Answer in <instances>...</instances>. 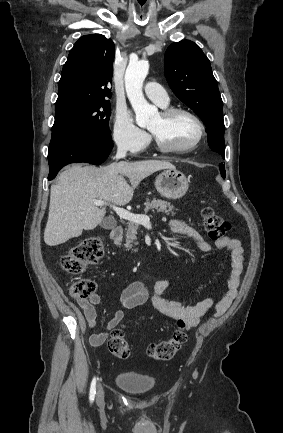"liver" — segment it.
<instances>
[{"label":"liver","instance_id":"liver-1","mask_svg":"<svg viewBox=\"0 0 283 433\" xmlns=\"http://www.w3.org/2000/svg\"><path fill=\"white\" fill-rule=\"evenodd\" d=\"M173 168L167 160H136L111 162L108 166L72 164L58 176L50 192L49 217L44 241L49 247L80 237L82 231H92L106 214L105 206H96L93 200H106L124 206L130 202L134 188L143 178ZM128 176L131 184H128Z\"/></svg>","mask_w":283,"mask_h":433}]
</instances>
